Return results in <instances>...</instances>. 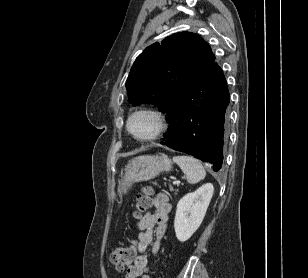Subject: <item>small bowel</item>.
I'll list each match as a JSON object with an SVG mask.
<instances>
[{"label":"small bowel","instance_id":"small-bowel-1","mask_svg":"<svg viewBox=\"0 0 308 278\" xmlns=\"http://www.w3.org/2000/svg\"><path fill=\"white\" fill-rule=\"evenodd\" d=\"M153 208L145 213L137 222L139 230L137 236V248L139 254L133 264L127 269L125 278H139L149 270V259L145 254L148 246L152 245L153 254L160 249L161 240L165 235L171 204L167 195L157 194L152 202Z\"/></svg>","mask_w":308,"mask_h":278}]
</instances>
